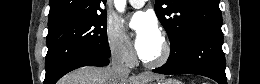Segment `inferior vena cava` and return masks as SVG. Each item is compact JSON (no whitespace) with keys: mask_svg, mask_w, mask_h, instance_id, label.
<instances>
[{"mask_svg":"<svg viewBox=\"0 0 260 84\" xmlns=\"http://www.w3.org/2000/svg\"><path fill=\"white\" fill-rule=\"evenodd\" d=\"M112 70L117 73L118 75H121V76H128L129 73H130V69L127 68L121 57L119 55H115L113 58H112Z\"/></svg>","mask_w":260,"mask_h":84,"instance_id":"obj_1","label":"inferior vena cava"}]
</instances>
